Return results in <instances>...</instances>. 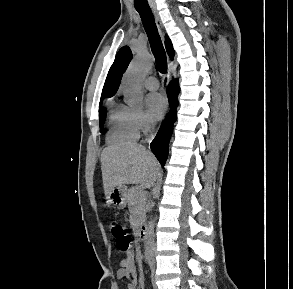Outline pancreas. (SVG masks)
Segmentation results:
<instances>
[{
    "instance_id": "1",
    "label": "pancreas",
    "mask_w": 293,
    "mask_h": 289,
    "mask_svg": "<svg viewBox=\"0 0 293 289\" xmlns=\"http://www.w3.org/2000/svg\"><path fill=\"white\" fill-rule=\"evenodd\" d=\"M127 203L136 226H141L145 220L146 196L140 189L137 191L136 188H131L127 192Z\"/></svg>"
}]
</instances>
